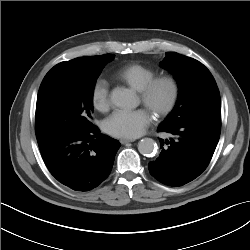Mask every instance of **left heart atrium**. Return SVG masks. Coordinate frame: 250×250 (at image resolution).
<instances>
[{"label":"left heart atrium","mask_w":250,"mask_h":250,"mask_svg":"<svg viewBox=\"0 0 250 250\" xmlns=\"http://www.w3.org/2000/svg\"><path fill=\"white\" fill-rule=\"evenodd\" d=\"M152 121L147 108L116 110L105 121V130L112 136L134 139L141 136Z\"/></svg>","instance_id":"obj_1"}]
</instances>
